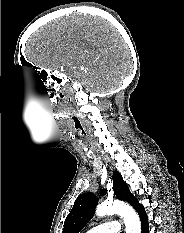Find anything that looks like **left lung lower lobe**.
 Returning a JSON list of instances; mask_svg holds the SVG:
<instances>
[{"instance_id":"obj_1","label":"left lung lower lobe","mask_w":184,"mask_h":233,"mask_svg":"<svg viewBox=\"0 0 184 233\" xmlns=\"http://www.w3.org/2000/svg\"><path fill=\"white\" fill-rule=\"evenodd\" d=\"M132 206L140 216L142 233H149L148 218L143 205L140 204L137 200Z\"/></svg>"}]
</instances>
